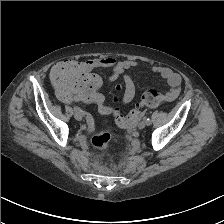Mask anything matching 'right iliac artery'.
<instances>
[{"instance_id":"82829eb1","label":"right iliac artery","mask_w":224,"mask_h":224,"mask_svg":"<svg viewBox=\"0 0 224 224\" xmlns=\"http://www.w3.org/2000/svg\"><path fill=\"white\" fill-rule=\"evenodd\" d=\"M74 111L80 113L82 116L85 115L84 111H82L79 107L75 106Z\"/></svg>"}]
</instances>
